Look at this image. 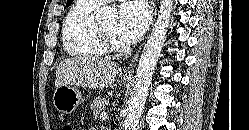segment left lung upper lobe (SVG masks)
<instances>
[{
  "instance_id": "1",
  "label": "left lung upper lobe",
  "mask_w": 249,
  "mask_h": 130,
  "mask_svg": "<svg viewBox=\"0 0 249 130\" xmlns=\"http://www.w3.org/2000/svg\"><path fill=\"white\" fill-rule=\"evenodd\" d=\"M73 0H67V6H69L72 3Z\"/></svg>"
}]
</instances>
